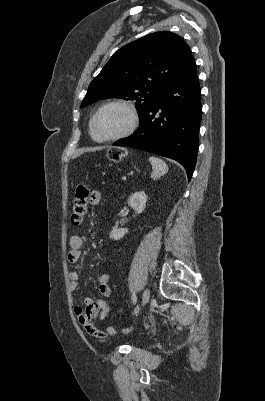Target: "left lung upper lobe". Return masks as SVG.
Wrapping results in <instances>:
<instances>
[{
  "label": "left lung upper lobe",
  "mask_w": 265,
  "mask_h": 401,
  "mask_svg": "<svg viewBox=\"0 0 265 401\" xmlns=\"http://www.w3.org/2000/svg\"><path fill=\"white\" fill-rule=\"evenodd\" d=\"M191 58L179 35L168 31L146 35L114 53L90 83L81 107L106 98L130 99L141 117Z\"/></svg>",
  "instance_id": "obj_1"
}]
</instances>
